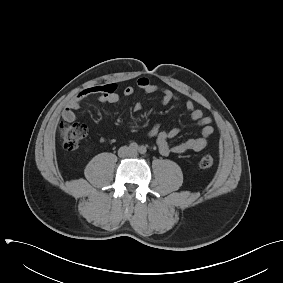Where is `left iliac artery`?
Instances as JSON below:
<instances>
[{
	"instance_id": "left-iliac-artery-1",
	"label": "left iliac artery",
	"mask_w": 283,
	"mask_h": 283,
	"mask_svg": "<svg viewBox=\"0 0 283 283\" xmlns=\"http://www.w3.org/2000/svg\"><path fill=\"white\" fill-rule=\"evenodd\" d=\"M146 152H147V149H146L145 146H140V147H139V153H140V154H145Z\"/></svg>"
}]
</instances>
